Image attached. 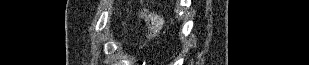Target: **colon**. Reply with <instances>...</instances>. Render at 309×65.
Wrapping results in <instances>:
<instances>
[{
    "label": "colon",
    "instance_id": "obj_1",
    "mask_svg": "<svg viewBox=\"0 0 309 65\" xmlns=\"http://www.w3.org/2000/svg\"><path fill=\"white\" fill-rule=\"evenodd\" d=\"M139 16L146 23V31L140 43V45H143L156 37L161 28L162 20L158 14L152 12L147 7H143L139 10Z\"/></svg>",
    "mask_w": 309,
    "mask_h": 65
}]
</instances>
